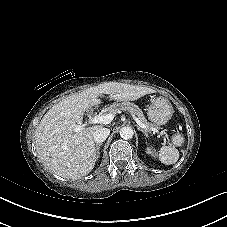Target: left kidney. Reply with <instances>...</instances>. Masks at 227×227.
I'll use <instances>...</instances> for the list:
<instances>
[{
	"label": "left kidney",
	"instance_id": "left-kidney-1",
	"mask_svg": "<svg viewBox=\"0 0 227 227\" xmlns=\"http://www.w3.org/2000/svg\"><path fill=\"white\" fill-rule=\"evenodd\" d=\"M146 153L150 154L151 153V149L150 148H147Z\"/></svg>",
	"mask_w": 227,
	"mask_h": 227
}]
</instances>
